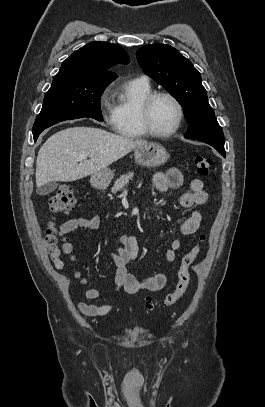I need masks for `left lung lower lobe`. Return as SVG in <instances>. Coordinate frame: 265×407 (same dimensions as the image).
<instances>
[{
  "label": "left lung lower lobe",
  "instance_id": "left-lung-lower-lobe-1",
  "mask_svg": "<svg viewBox=\"0 0 265 407\" xmlns=\"http://www.w3.org/2000/svg\"><path fill=\"white\" fill-rule=\"evenodd\" d=\"M211 146H212V145H211ZM215 149H216L223 157L226 156V155H225V152L222 151L221 149H219L218 147H215Z\"/></svg>",
  "mask_w": 265,
  "mask_h": 407
}]
</instances>
